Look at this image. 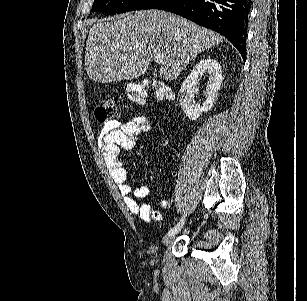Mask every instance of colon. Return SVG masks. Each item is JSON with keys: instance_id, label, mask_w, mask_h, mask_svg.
Masks as SVG:
<instances>
[{"instance_id": "colon-1", "label": "colon", "mask_w": 307, "mask_h": 301, "mask_svg": "<svg viewBox=\"0 0 307 301\" xmlns=\"http://www.w3.org/2000/svg\"><path fill=\"white\" fill-rule=\"evenodd\" d=\"M151 87L154 90L155 96L159 100H169L172 98L170 88L163 82L158 80L153 81H134L127 85V94L131 102L137 105H143ZM116 116V105L113 100H105L95 109V117L101 123L112 121ZM153 220L159 221L162 215L159 211L153 210L151 213Z\"/></svg>"}]
</instances>
